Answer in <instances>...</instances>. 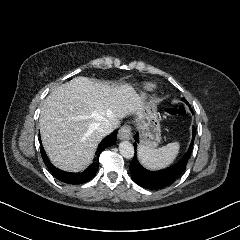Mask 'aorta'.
<instances>
[{"mask_svg":"<svg viewBox=\"0 0 240 240\" xmlns=\"http://www.w3.org/2000/svg\"><path fill=\"white\" fill-rule=\"evenodd\" d=\"M119 151L120 154L126 159H130L134 156V147L128 141H123L119 144Z\"/></svg>","mask_w":240,"mask_h":240,"instance_id":"obj_1","label":"aorta"}]
</instances>
